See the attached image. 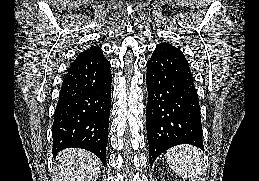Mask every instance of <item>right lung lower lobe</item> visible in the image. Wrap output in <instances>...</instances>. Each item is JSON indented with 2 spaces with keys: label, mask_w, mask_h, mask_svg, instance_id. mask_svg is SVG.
I'll return each instance as SVG.
<instances>
[{
  "label": "right lung lower lobe",
  "mask_w": 259,
  "mask_h": 181,
  "mask_svg": "<svg viewBox=\"0 0 259 181\" xmlns=\"http://www.w3.org/2000/svg\"><path fill=\"white\" fill-rule=\"evenodd\" d=\"M111 82L110 62L102 51L71 64L55 110L53 154L82 148L106 163Z\"/></svg>",
  "instance_id": "1"
}]
</instances>
